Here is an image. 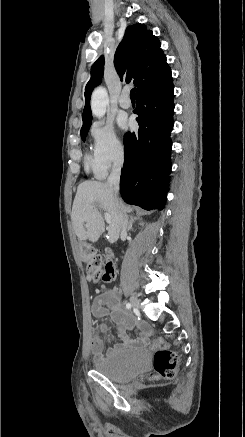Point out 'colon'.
Wrapping results in <instances>:
<instances>
[{
	"label": "colon",
	"instance_id": "colon-1",
	"mask_svg": "<svg viewBox=\"0 0 245 437\" xmlns=\"http://www.w3.org/2000/svg\"><path fill=\"white\" fill-rule=\"evenodd\" d=\"M82 262L86 266L88 278L95 283H110L116 277L113 262L91 246H84L81 250ZM155 353L153 366L155 378L171 379L175 376L179 364L178 355L169 350L166 341L158 337L152 344Z\"/></svg>",
	"mask_w": 245,
	"mask_h": 437
}]
</instances>
